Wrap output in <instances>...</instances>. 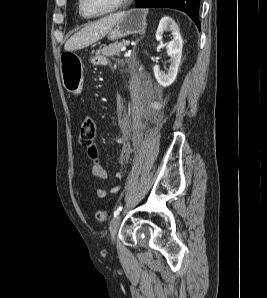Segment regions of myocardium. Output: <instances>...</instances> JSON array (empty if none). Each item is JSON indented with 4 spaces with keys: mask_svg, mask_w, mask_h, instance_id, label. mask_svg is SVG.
Segmentation results:
<instances>
[{
    "mask_svg": "<svg viewBox=\"0 0 267 298\" xmlns=\"http://www.w3.org/2000/svg\"><path fill=\"white\" fill-rule=\"evenodd\" d=\"M130 2H131V0H119V2L113 8H111L110 10H108L106 12L99 13V14H89L84 9L83 0H79V10H80L81 14L84 15L85 17L100 18V17L114 14V13H117V12L123 10Z\"/></svg>",
    "mask_w": 267,
    "mask_h": 298,
    "instance_id": "f54148a6",
    "label": "myocardium"
}]
</instances>
